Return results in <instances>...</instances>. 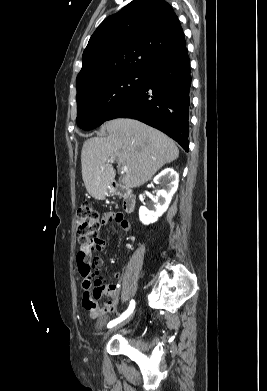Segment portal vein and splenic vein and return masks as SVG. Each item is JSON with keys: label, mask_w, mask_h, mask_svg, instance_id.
Instances as JSON below:
<instances>
[{"label": "portal vein and splenic vein", "mask_w": 267, "mask_h": 391, "mask_svg": "<svg viewBox=\"0 0 267 391\" xmlns=\"http://www.w3.org/2000/svg\"><path fill=\"white\" fill-rule=\"evenodd\" d=\"M114 162V160L111 158V159H109L108 160V164L109 163H113ZM128 171V167L127 166H121V172L123 173V172H127Z\"/></svg>", "instance_id": "18ae733b"}]
</instances>
